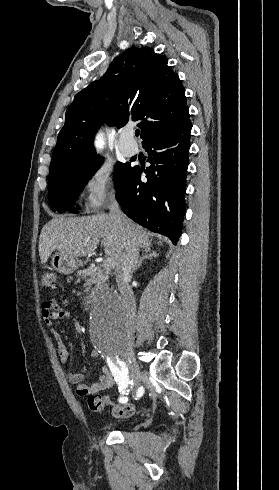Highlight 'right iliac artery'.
Wrapping results in <instances>:
<instances>
[{"label": "right iliac artery", "mask_w": 279, "mask_h": 490, "mask_svg": "<svg viewBox=\"0 0 279 490\" xmlns=\"http://www.w3.org/2000/svg\"><path fill=\"white\" fill-rule=\"evenodd\" d=\"M107 364L110 367L112 374L115 376V380L118 382L119 396L120 402L124 403L128 401V398L125 397L128 392L127 383L129 380L128 376V368L126 367V363L120 361V355L118 352H109L107 355ZM119 365V368L117 367Z\"/></svg>", "instance_id": "1"}]
</instances>
